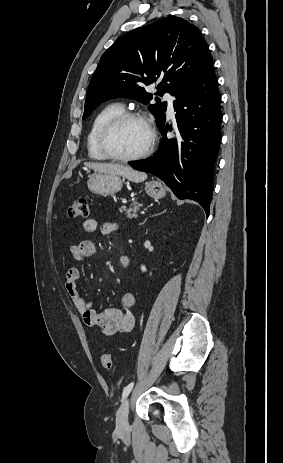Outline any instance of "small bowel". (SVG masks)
Listing matches in <instances>:
<instances>
[{"label":"small bowel","instance_id":"1","mask_svg":"<svg viewBox=\"0 0 283 463\" xmlns=\"http://www.w3.org/2000/svg\"><path fill=\"white\" fill-rule=\"evenodd\" d=\"M83 227L86 232L94 233L98 229V222L94 218H89L84 222ZM100 229L103 235H111L119 230V225L108 221L104 222ZM69 253L73 259L82 261L95 255L96 245L93 241L84 240L77 245H72L69 248ZM120 263L122 267L127 268L129 258L126 255L120 256ZM79 280V269L70 266L66 271L65 289L87 326L99 327L105 335L132 331L135 325V319L131 313V309L135 305L133 293L127 292L121 296V308L97 311L92 308L90 301L81 295L78 288Z\"/></svg>","mask_w":283,"mask_h":463}]
</instances>
